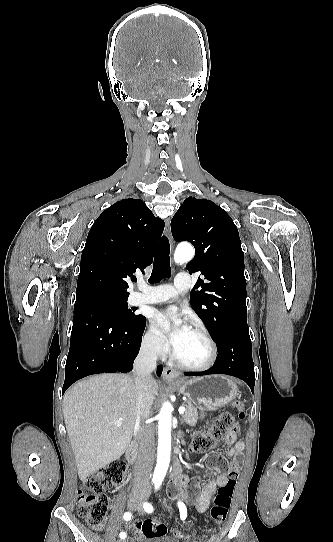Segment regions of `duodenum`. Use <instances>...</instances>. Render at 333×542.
Returning a JSON list of instances; mask_svg holds the SVG:
<instances>
[{
  "label": "duodenum",
  "mask_w": 333,
  "mask_h": 542,
  "mask_svg": "<svg viewBox=\"0 0 333 542\" xmlns=\"http://www.w3.org/2000/svg\"><path fill=\"white\" fill-rule=\"evenodd\" d=\"M138 455V444L137 442H132L126 450V458L129 463L133 464L135 463ZM182 467L181 463L178 457H175L173 464H172V474L173 476H177L181 474Z\"/></svg>",
  "instance_id": "410a0bca"
}]
</instances>
